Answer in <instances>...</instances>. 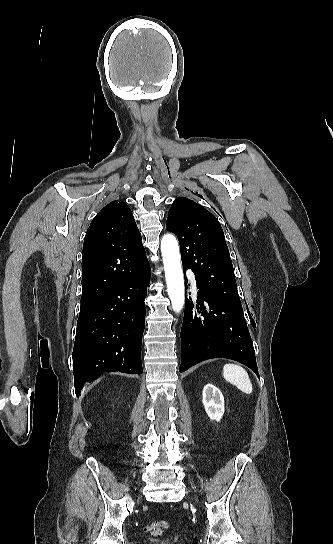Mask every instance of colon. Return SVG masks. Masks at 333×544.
<instances>
[{
	"label": "colon",
	"mask_w": 333,
	"mask_h": 544,
	"mask_svg": "<svg viewBox=\"0 0 333 544\" xmlns=\"http://www.w3.org/2000/svg\"><path fill=\"white\" fill-rule=\"evenodd\" d=\"M169 528L170 523L168 521H152L146 526V531L151 535L158 536Z\"/></svg>",
	"instance_id": "obj_1"
}]
</instances>
